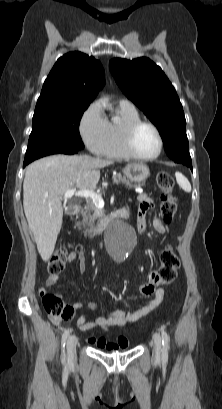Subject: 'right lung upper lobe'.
<instances>
[{
    "instance_id": "cb5924a9",
    "label": "right lung upper lobe",
    "mask_w": 222,
    "mask_h": 409,
    "mask_svg": "<svg viewBox=\"0 0 222 409\" xmlns=\"http://www.w3.org/2000/svg\"><path fill=\"white\" fill-rule=\"evenodd\" d=\"M104 84L100 61L81 52H69L57 60L49 73L35 109L90 104Z\"/></svg>"
}]
</instances>
